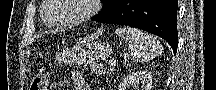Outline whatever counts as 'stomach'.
Listing matches in <instances>:
<instances>
[{
  "mask_svg": "<svg viewBox=\"0 0 216 90\" xmlns=\"http://www.w3.org/2000/svg\"><path fill=\"white\" fill-rule=\"evenodd\" d=\"M111 53L112 48L109 44L93 42L70 51L65 60L77 64H92L106 59Z\"/></svg>",
  "mask_w": 216,
  "mask_h": 90,
  "instance_id": "stomach-1",
  "label": "stomach"
}]
</instances>
